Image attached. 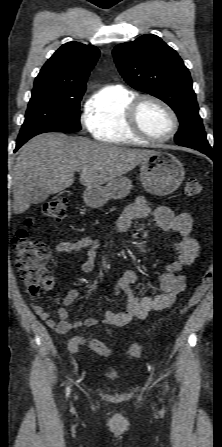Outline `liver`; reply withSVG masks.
Wrapping results in <instances>:
<instances>
[{"mask_svg":"<svg viewBox=\"0 0 222 447\" xmlns=\"http://www.w3.org/2000/svg\"><path fill=\"white\" fill-rule=\"evenodd\" d=\"M153 153V150L95 143L62 133L38 135L21 148L15 162L14 213L29 209L37 188L56 194L70 187L75 171H81L82 185L97 187L131 171Z\"/></svg>","mask_w":222,"mask_h":447,"instance_id":"obj_1","label":"liver"}]
</instances>
